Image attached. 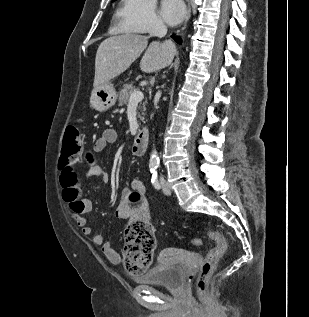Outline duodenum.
Here are the masks:
<instances>
[{
    "label": "duodenum",
    "instance_id": "obj_1",
    "mask_svg": "<svg viewBox=\"0 0 309 317\" xmlns=\"http://www.w3.org/2000/svg\"><path fill=\"white\" fill-rule=\"evenodd\" d=\"M148 144V130L143 127L139 130L137 136L134 139V142L131 147V151L136 156H142L147 148Z\"/></svg>",
    "mask_w": 309,
    "mask_h": 317
}]
</instances>
